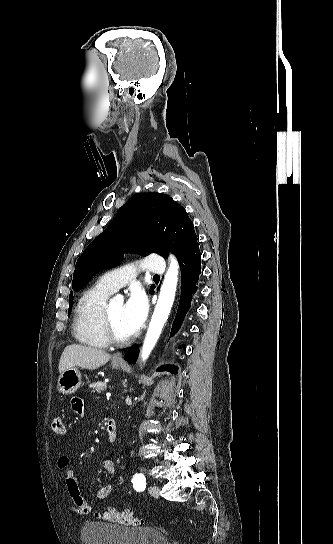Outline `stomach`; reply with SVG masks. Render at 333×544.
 I'll return each instance as SVG.
<instances>
[{
  "mask_svg": "<svg viewBox=\"0 0 333 544\" xmlns=\"http://www.w3.org/2000/svg\"><path fill=\"white\" fill-rule=\"evenodd\" d=\"M122 364L113 363V368H122ZM81 373L77 367L68 368L61 373L58 379V389L63 394L74 393L81 385Z\"/></svg>",
  "mask_w": 333,
  "mask_h": 544,
  "instance_id": "stomach-1",
  "label": "stomach"
}]
</instances>
